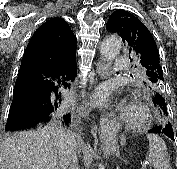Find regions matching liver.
I'll return each mask as SVG.
<instances>
[{
    "mask_svg": "<svg viewBox=\"0 0 177 169\" xmlns=\"http://www.w3.org/2000/svg\"><path fill=\"white\" fill-rule=\"evenodd\" d=\"M64 132L55 127L18 132L0 149V169H59L58 146ZM80 148H86L82 142Z\"/></svg>",
    "mask_w": 177,
    "mask_h": 169,
    "instance_id": "obj_1",
    "label": "liver"
}]
</instances>
